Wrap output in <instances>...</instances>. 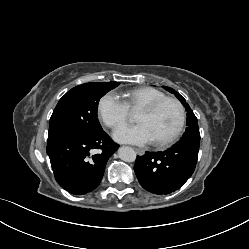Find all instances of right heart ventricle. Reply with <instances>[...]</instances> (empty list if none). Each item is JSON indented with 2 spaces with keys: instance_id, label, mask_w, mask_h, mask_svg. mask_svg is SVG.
<instances>
[{
  "instance_id": "right-heart-ventricle-1",
  "label": "right heart ventricle",
  "mask_w": 249,
  "mask_h": 249,
  "mask_svg": "<svg viewBox=\"0 0 249 249\" xmlns=\"http://www.w3.org/2000/svg\"><path fill=\"white\" fill-rule=\"evenodd\" d=\"M165 96V93L158 89L139 87L125 92L123 99L129 110L137 111L141 107Z\"/></svg>"
}]
</instances>
